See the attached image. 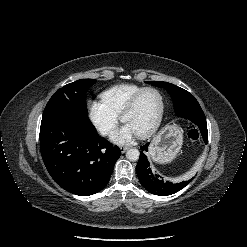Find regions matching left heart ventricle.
<instances>
[{"instance_id": "1", "label": "left heart ventricle", "mask_w": 247, "mask_h": 247, "mask_svg": "<svg viewBox=\"0 0 247 247\" xmlns=\"http://www.w3.org/2000/svg\"><path fill=\"white\" fill-rule=\"evenodd\" d=\"M160 99L154 92H146L139 99L136 107L126 117L124 122L128 124L136 134L149 129L157 120L160 112Z\"/></svg>"}]
</instances>
